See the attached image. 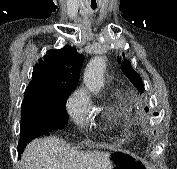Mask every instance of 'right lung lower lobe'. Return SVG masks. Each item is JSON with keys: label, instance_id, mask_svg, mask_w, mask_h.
Masks as SVG:
<instances>
[{"label": "right lung lower lobe", "instance_id": "right-lung-lower-lobe-1", "mask_svg": "<svg viewBox=\"0 0 177 169\" xmlns=\"http://www.w3.org/2000/svg\"><path fill=\"white\" fill-rule=\"evenodd\" d=\"M49 129L33 124H21L20 140L18 144V153H21L26 145L34 138L42 135H48Z\"/></svg>", "mask_w": 177, "mask_h": 169}]
</instances>
